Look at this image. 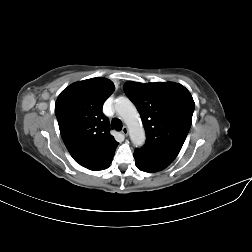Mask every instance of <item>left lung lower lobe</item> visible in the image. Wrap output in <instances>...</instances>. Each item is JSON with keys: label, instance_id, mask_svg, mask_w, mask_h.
Returning a JSON list of instances; mask_svg holds the SVG:
<instances>
[{"label": "left lung lower lobe", "instance_id": "0a47b994", "mask_svg": "<svg viewBox=\"0 0 252 252\" xmlns=\"http://www.w3.org/2000/svg\"><path fill=\"white\" fill-rule=\"evenodd\" d=\"M134 158L136 167L148 173L161 171L168 167L173 161L161 154L146 151L142 148H137L134 151Z\"/></svg>", "mask_w": 252, "mask_h": 252}]
</instances>
